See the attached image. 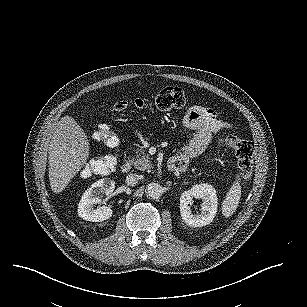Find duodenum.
Segmentation results:
<instances>
[{
  "label": "duodenum",
  "instance_id": "obj_1",
  "mask_svg": "<svg viewBox=\"0 0 307 307\" xmlns=\"http://www.w3.org/2000/svg\"><path fill=\"white\" fill-rule=\"evenodd\" d=\"M132 169V164L130 161H125L122 165H121V171L124 174H127L131 171ZM168 169L172 172H176V171H182V166L178 165L175 161H173L172 159L168 162Z\"/></svg>",
  "mask_w": 307,
  "mask_h": 307
}]
</instances>
